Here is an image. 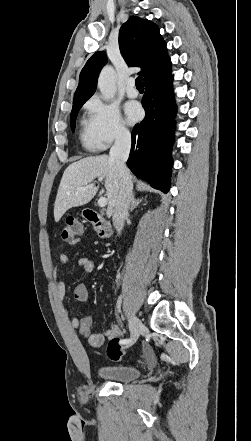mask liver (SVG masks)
<instances>
[{
	"label": "liver",
	"instance_id": "6515ba94",
	"mask_svg": "<svg viewBox=\"0 0 251 441\" xmlns=\"http://www.w3.org/2000/svg\"><path fill=\"white\" fill-rule=\"evenodd\" d=\"M96 178H105L108 202L107 216L112 214L119 192L118 172L115 163L108 155L90 156L70 164L64 171L55 204L54 219L58 222L67 210L87 204L96 195L98 187H86Z\"/></svg>",
	"mask_w": 251,
	"mask_h": 441
}]
</instances>
